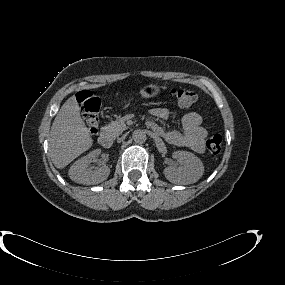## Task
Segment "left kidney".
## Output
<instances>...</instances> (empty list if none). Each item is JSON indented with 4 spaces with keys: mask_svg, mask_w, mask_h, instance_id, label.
<instances>
[{
    "mask_svg": "<svg viewBox=\"0 0 285 285\" xmlns=\"http://www.w3.org/2000/svg\"><path fill=\"white\" fill-rule=\"evenodd\" d=\"M173 158L183 165L175 168L168 166L164 169L165 177L174 184H192L197 182L203 175L204 166L202 161L191 152L175 151Z\"/></svg>",
    "mask_w": 285,
    "mask_h": 285,
    "instance_id": "1",
    "label": "left kidney"
}]
</instances>
